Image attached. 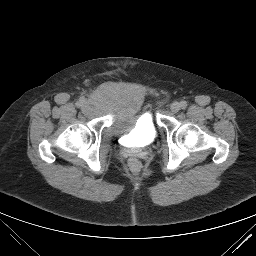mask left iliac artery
<instances>
[{"label":"left iliac artery","instance_id":"44dca946","mask_svg":"<svg viewBox=\"0 0 256 256\" xmlns=\"http://www.w3.org/2000/svg\"><path fill=\"white\" fill-rule=\"evenodd\" d=\"M180 106L182 109H185L187 107V102L186 101H181Z\"/></svg>","mask_w":256,"mask_h":256}]
</instances>
